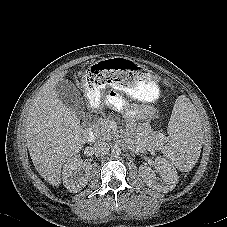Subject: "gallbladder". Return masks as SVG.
Wrapping results in <instances>:
<instances>
[{"instance_id": "obj_1", "label": "gallbladder", "mask_w": 227, "mask_h": 227, "mask_svg": "<svg viewBox=\"0 0 227 227\" xmlns=\"http://www.w3.org/2000/svg\"><path fill=\"white\" fill-rule=\"evenodd\" d=\"M59 99L73 112L80 114L84 110L83 98L76 86L62 78L55 86Z\"/></svg>"}]
</instances>
